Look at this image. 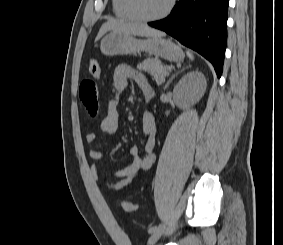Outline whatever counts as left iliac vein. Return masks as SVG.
Returning a JSON list of instances; mask_svg holds the SVG:
<instances>
[{
	"mask_svg": "<svg viewBox=\"0 0 283 245\" xmlns=\"http://www.w3.org/2000/svg\"><path fill=\"white\" fill-rule=\"evenodd\" d=\"M162 231H163V228L153 233L148 240V244L149 245L154 244L160 238Z\"/></svg>",
	"mask_w": 283,
	"mask_h": 245,
	"instance_id": "left-iliac-vein-1",
	"label": "left iliac vein"
}]
</instances>
